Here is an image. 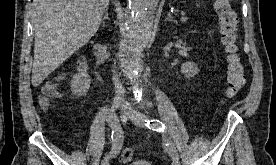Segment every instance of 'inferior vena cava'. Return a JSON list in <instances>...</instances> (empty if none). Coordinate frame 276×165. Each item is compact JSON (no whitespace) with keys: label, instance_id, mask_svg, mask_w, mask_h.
Returning a JSON list of instances; mask_svg holds the SVG:
<instances>
[{"label":"inferior vena cava","instance_id":"602c4592","mask_svg":"<svg viewBox=\"0 0 276 165\" xmlns=\"http://www.w3.org/2000/svg\"><path fill=\"white\" fill-rule=\"evenodd\" d=\"M113 81H114V88H115L114 101L117 103H121L124 100V88L116 76L113 77Z\"/></svg>","mask_w":276,"mask_h":165}]
</instances>
